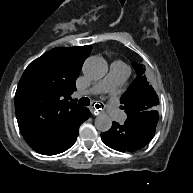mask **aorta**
<instances>
[{"label":"aorta","mask_w":193,"mask_h":193,"mask_svg":"<svg viewBox=\"0 0 193 193\" xmlns=\"http://www.w3.org/2000/svg\"><path fill=\"white\" fill-rule=\"evenodd\" d=\"M83 72L90 78L100 79L107 72V64L100 57H89L84 63ZM95 127L100 132H106L112 127V120L107 114H100L95 119Z\"/></svg>","instance_id":"1"}]
</instances>
